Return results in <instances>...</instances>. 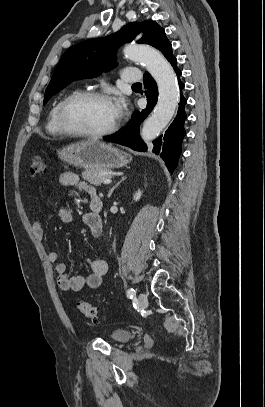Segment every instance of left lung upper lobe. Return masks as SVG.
Here are the masks:
<instances>
[{
  "label": "left lung upper lobe",
  "mask_w": 265,
  "mask_h": 407,
  "mask_svg": "<svg viewBox=\"0 0 265 407\" xmlns=\"http://www.w3.org/2000/svg\"><path fill=\"white\" fill-rule=\"evenodd\" d=\"M140 32H143V37L138 40V43L157 48L169 62L175 58L164 29L156 22L147 20L141 23H129L115 34L86 40L66 50L45 91L43 104L45 105L54 94L71 82L96 77L103 71L116 66L118 47L126 42H131Z\"/></svg>",
  "instance_id": "1"
}]
</instances>
